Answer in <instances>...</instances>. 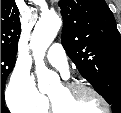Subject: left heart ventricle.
<instances>
[{"label":"left heart ventricle","instance_id":"1","mask_svg":"<svg viewBox=\"0 0 121 113\" xmlns=\"http://www.w3.org/2000/svg\"><path fill=\"white\" fill-rule=\"evenodd\" d=\"M61 113L89 112L104 113V105L91 93L84 92L72 94L62 87L61 84L55 86L49 93Z\"/></svg>","mask_w":121,"mask_h":113}]
</instances>
